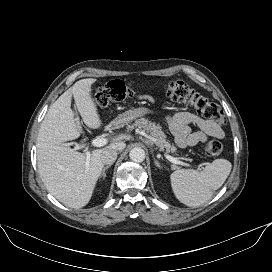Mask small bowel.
<instances>
[{
  "label": "small bowel",
  "mask_w": 272,
  "mask_h": 272,
  "mask_svg": "<svg viewBox=\"0 0 272 272\" xmlns=\"http://www.w3.org/2000/svg\"><path fill=\"white\" fill-rule=\"evenodd\" d=\"M142 101L154 104L155 99L147 94L138 95ZM167 124L176 144L181 147H192L205 143L208 137L221 139L224 137L222 128L214 121L205 120L189 112H178L167 117ZM196 125L199 130L190 131V125Z\"/></svg>",
  "instance_id": "1"
}]
</instances>
